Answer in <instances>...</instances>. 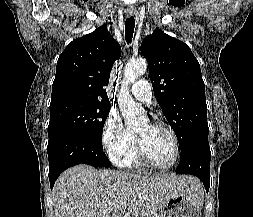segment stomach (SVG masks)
Returning <instances> with one entry per match:
<instances>
[{"label": "stomach", "instance_id": "1", "mask_svg": "<svg viewBox=\"0 0 253 217\" xmlns=\"http://www.w3.org/2000/svg\"><path fill=\"white\" fill-rule=\"evenodd\" d=\"M203 203L188 194H178L169 199L158 214L153 217H201Z\"/></svg>", "mask_w": 253, "mask_h": 217}]
</instances>
